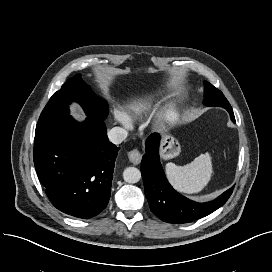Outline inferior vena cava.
Here are the masks:
<instances>
[{"mask_svg":"<svg viewBox=\"0 0 272 272\" xmlns=\"http://www.w3.org/2000/svg\"><path fill=\"white\" fill-rule=\"evenodd\" d=\"M128 136L127 131L121 127H114L108 132L110 142L114 144L122 143Z\"/></svg>","mask_w":272,"mask_h":272,"instance_id":"1","label":"inferior vena cava"}]
</instances>
